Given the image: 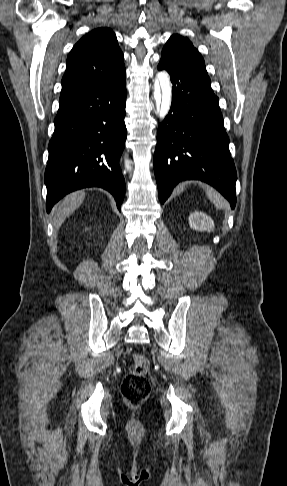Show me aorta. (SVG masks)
<instances>
[{"label":"aorta","mask_w":287,"mask_h":486,"mask_svg":"<svg viewBox=\"0 0 287 486\" xmlns=\"http://www.w3.org/2000/svg\"><path fill=\"white\" fill-rule=\"evenodd\" d=\"M171 82L170 77L166 72L161 73V75L155 79L154 82V100L157 113H160L165 117L171 107Z\"/></svg>","instance_id":"1"}]
</instances>
